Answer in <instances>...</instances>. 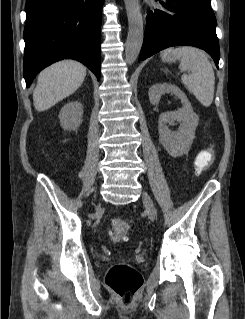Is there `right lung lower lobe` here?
Wrapping results in <instances>:
<instances>
[{
	"label": "right lung lower lobe",
	"mask_w": 245,
	"mask_h": 319,
	"mask_svg": "<svg viewBox=\"0 0 245 319\" xmlns=\"http://www.w3.org/2000/svg\"><path fill=\"white\" fill-rule=\"evenodd\" d=\"M104 0H27L23 76L29 87L46 66L71 58L100 78Z\"/></svg>",
	"instance_id": "98d812e1"
}]
</instances>
